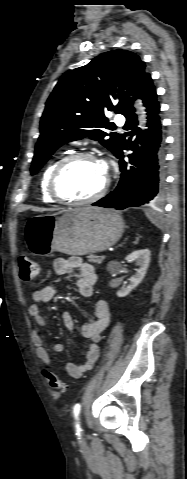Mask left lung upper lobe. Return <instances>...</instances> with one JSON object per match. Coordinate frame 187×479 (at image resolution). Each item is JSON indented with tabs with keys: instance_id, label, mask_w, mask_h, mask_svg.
I'll use <instances>...</instances> for the list:
<instances>
[{
	"instance_id": "1",
	"label": "left lung upper lobe",
	"mask_w": 187,
	"mask_h": 479,
	"mask_svg": "<svg viewBox=\"0 0 187 479\" xmlns=\"http://www.w3.org/2000/svg\"><path fill=\"white\" fill-rule=\"evenodd\" d=\"M145 63L131 51L112 50L87 65L65 73L46 102L40 122L31 174L34 175L62 144L86 136L111 150L121 147L117 133L108 134L104 110L124 114L132 106L143 80L149 77ZM126 90V91H125Z\"/></svg>"
}]
</instances>
